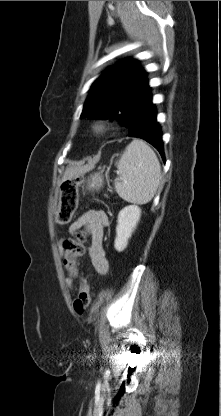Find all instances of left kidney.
I'll use <instances>...</instances> for the list:
<instances>
[{
  "mask_svg": "<svg viewBox=\"0 0 221 416\" xmlns=\"http://www.w3.org/2000/svg\"><path fill=\"white\" fill-rule=\"evenodd\" d=\"M141 216V209L137 205H129L124 207L118 214L116 238L114 247L117 251H123L128 240L134 232Z\"/></svg>",
  "mask_w": 221,
  "mask_h": 416,
  "instance_id": "1",
  "label": "left kidney"
}]
</instances>
